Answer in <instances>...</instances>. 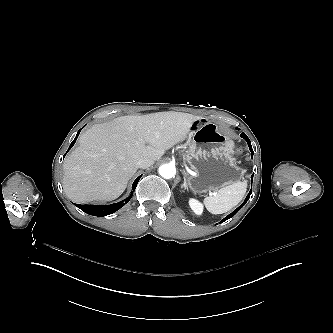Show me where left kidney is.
I'll list each match as a JSON object with an SVG mask.
<instances>
[{
  "instance_id": "left-kidney-1",
  "label": "left kidney",
  "mask_w": 333,
  "mask_h": 333,
  "mask_svg": "<svg viewBox=\"0 0 333 333\" xmlns=\"http://www.w3.org/2000/svg\"><path fill=\"white\" fill-rule=\"evenodd\" d=\"M189 206L196 215H201L203 213V204L197 199L190 198Z\"/></svg>"
}]
</instances>
